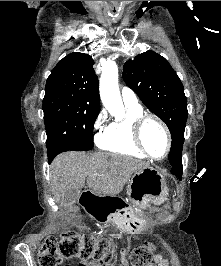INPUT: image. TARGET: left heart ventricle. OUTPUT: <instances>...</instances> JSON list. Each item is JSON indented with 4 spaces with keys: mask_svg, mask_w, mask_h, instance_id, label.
Returning <instances> with one entry per match:
<instances>
[{
    "mask_svg": "<svg viewBox=\"0 0 221 266\" xmlns=\"http://www.w3.org/2000/svg\"><path fill=\"white\" fill-rule=\"evenodd\" d=\"M142 140L154 157H161L166 150V137L161 127L154 121L148 120L142 131Z\"/></svg>",
    "mask_w": 221,
    "mask_h": 266,
    "instance_id": "1",
    "label": "left heart ventricle"
}]
</instances>
